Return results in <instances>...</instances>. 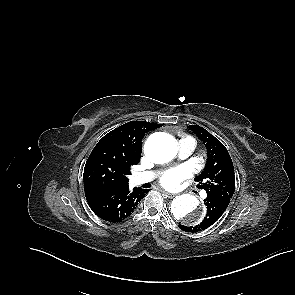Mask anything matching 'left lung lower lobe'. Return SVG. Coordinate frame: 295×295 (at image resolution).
I'll return each instance as SVG.
<instances>
[{
    "instance_id": "1",
    "label": "left lung lower lobe",
    "mask_w": 295,
    "mask_h": 295,
    "mask_svg": "<svg viewBox=\"0 0 295 295\" xmlns=\"http://www.w3.org/2000/svg\"><path fill=\"white\" fill-rule=\"evenodd\" d=\"M204 203L206 205L207 212L202 222L195 226H185L179 224V227L182 230L186 232H197L209 228L222 216V214L228 207L230 200L207 197L204 200Z\"/></svg>"
}]
</instances>
